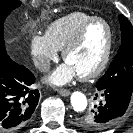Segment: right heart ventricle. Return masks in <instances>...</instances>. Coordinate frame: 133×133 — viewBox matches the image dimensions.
I'll use <instances>...</instances> for the list:
<instances>
[{"label": "right heart ventricle", "mask_w": 133, "mask_h": 133, "mask_svg": "<svg viewBox=\"0 0 133 133\" xmlns=\"http://www.w3.org/2000/svg\"><path fill=\"white\" fill-rule=\"evenodd\" d=\"M92 17L94 16L81 11L66 14L47 27L45 36L56 50H62L79 28Z\"/></svg>", "instance_id": "right-heart-ventricle-1"}]
</instances>
